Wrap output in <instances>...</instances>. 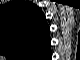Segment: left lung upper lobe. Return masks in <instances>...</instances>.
<instances>
[{
	"label": "left lung upper lobe",
	"instance_id": "obj_1",
	"mask_svg": "<svg viewBox=\"0 0 80 60\" xmlns=\"http://www.w3.org/2000/svg\"><path fill=\"white\" fill-rule=\"evenodd\" d=\"M44 14L38 6L31 2L16 0L0 8V42L2 48L12 53L23 52L27 58H35L43 35ZM11 39L12 43H11ZM17 42L16 45L14 43ZM17 47L18 50L17 51Z\"/></svg>",
	"mask_w": 80,
	"mask_h": 60
}]
</instances>
